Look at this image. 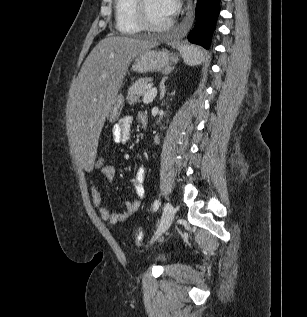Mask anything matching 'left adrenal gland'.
<instances>
[{"instance_id": "obj_1", "label": "left adrenal gland", "mask_w": 307, "mask_h": 317, "mask_svg": "<svg viewBox=\"0 0 307 317\" xmlns=\"http://www.w3.org/2000/svg\"><path fill=\"white\" fill-rule=\"evenodd\" d=\"M165 79H163L160 83V97L159 99L162 100L165 96V93H166V87H165Z\"/></svg>"}]
</instances>
